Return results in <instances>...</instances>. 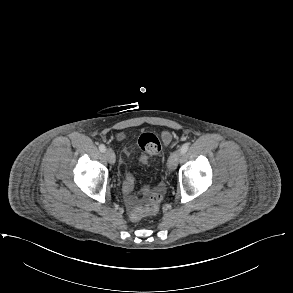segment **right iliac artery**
I'll use <instances>...</instances> for the list:
<instances>
[{"mask_svg":"<svg viewBox=\"0 0 293 293\" xmlns=\"http://www.w3.org/2000/svg\"><path fill=\"white\" fill-rule=\"evenodd\" d=\"M99 150H100L101 152H105V151H106V147H105V145H104V144H100V145H99Z\"/></svg>","mask_w":293,"mask_h":293,"instance_id":"obj_1","label":"right iliac artery"}]
</instances>
